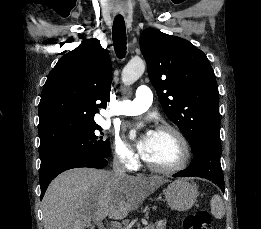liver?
<instances>
[{
  "label": "liver",
  "instance_id": "1",
  "mask_svg": "<svg viewBox=\"0 0 261 229\" xmlns=\"http://www.w3.org/2000/svg\"><path fill=\"white\" fill-rule=\"evenodd\" d=\"M167 183L162 177H117L110 171L70 169L50 183L42 201L44 229H95L103 219H125Z\"/></svg>",
  "mask_w": 261,
  "mask_h": 229
}]
</instances>
